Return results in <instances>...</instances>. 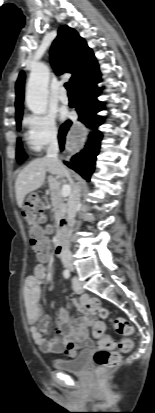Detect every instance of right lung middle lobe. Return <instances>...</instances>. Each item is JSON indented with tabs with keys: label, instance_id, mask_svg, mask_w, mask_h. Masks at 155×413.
Here are the masks:
<instances>
[{
	"label": "right lung middle lobe",
	"instance_id": "1",
	"mask_svg": "<svg viewBox=\"0 0 155 413\" xmlns=\"http://www.w3.org/2000/svg\"><path fill=\"white\" fill-rule=\"evenodd\" d=\"M16 123H17L18 129H20L21 119L17 120ZM26 158H27V155L23 151L21 140L18 139L17 150H16V159H17L18 163H22Z\"/></svg>",
	"mask_w": 155,
	"mask_h": 413
}]
</instances>
